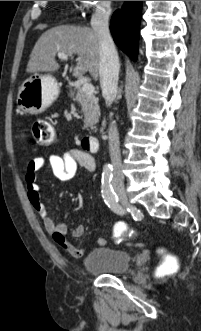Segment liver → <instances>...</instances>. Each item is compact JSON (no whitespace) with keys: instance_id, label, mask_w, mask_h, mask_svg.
I'll return each mask as SVG.
<instances>
[{"instance_id":"6515ba94","label":"liver","mask_w":201,"mask_h":331,"mask_svg":"<svg viewBox=\"0 0 201 331\" xmlns=\"http://www.w3.org/2000/svg\"><path fill=\"white\" fill-rule=\"evenodd\" d=\"M77 55L74 77L89 72L96 81L99 77L100 44L98 34L88 27L61 25L44 32L36 42L27 65V73H53L60 68L56 54Z\"/></svg>"}]
</instances>
